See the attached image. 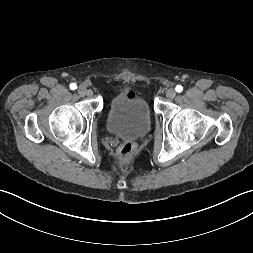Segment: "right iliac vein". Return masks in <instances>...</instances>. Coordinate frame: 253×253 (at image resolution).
<instances>
[{"label": "right iliac vein", "instance_id": "obj_1", "mask_svg": "<svg viewBox=\"0 0 253 253\" xmlns=\"http://www.w3.org/2000/svg\"><path fill=\"white\" fill-rule=\"evenodd\" d=\"M77 91L80 96H85L87 94V89L83 85H80Z\"/></svg>", "mask_w": 253, "mask_h": 253}]
</instances>
